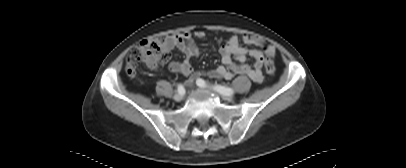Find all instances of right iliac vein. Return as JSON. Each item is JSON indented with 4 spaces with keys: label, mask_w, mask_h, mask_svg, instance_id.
Returning <instances> with one entry per match:
<instances>
[{
    "label": "right iliac vein",
    "mask_w": 406,
    "mask_h": 168,
    "mask_svg": "<svg viewBox=\"0 0 406 168\" xmlns=\"http://www.w3.org/2000/svg\"><path fill=\"white\" fill-rule=\"evenodd\" d=\"M173 98L175 101L179 102L183 99V94H180V93L175 94Z\"/></svg>",
    "instance_id": "obj_1"
}]
</instances>
